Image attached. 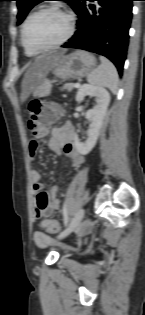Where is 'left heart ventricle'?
I'll return each instance as SVG.
<instances>
[{"label":"left heart ventricle","mask_w":145,"mask_h":315,"mask_svg":"<svg viewBox=\"0 0 145 315\" xmlns=\"http://www.w3.org/2000/svg\"><path fill=\"white\" fill-rule=\"evenodd\" d=\"M67 31L65 18L55 12H44L28 23L26 38L36 46H46L58 41Z\"/></svg>","instance_id":"b2bd125f"}]
</instances>
